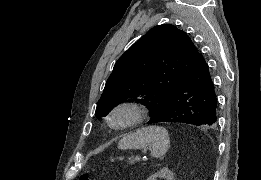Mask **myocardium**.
Masks as SVG:
<instances>
[{
	"label": "myocardium",
	"mask_w": 261,
	"mask_h": 180,
	"mask_svg": "<svg viewBox=\"0 0 261 180\" xmlns=\"http://www.w3.org/2000/svg\"><path fill=\"white\" fill-rule=\"evenodd\" d=\"M144 106L135 100H122L108 111L107 123L114 130H124L142 121Z\"/></svg>",
	"instance_id": "obj_1"
}]
</instances>
